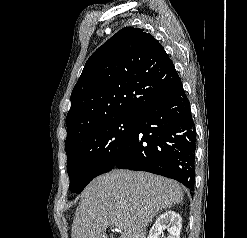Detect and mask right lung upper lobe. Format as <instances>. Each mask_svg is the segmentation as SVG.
I'll use <instances>...</instances> for the list:
<instances>
[{
    "label": "right lung upper lobe",
    "mask_w": 247,
    "mask_h": 238,
    "mask_svg": "<svg viewBox=\"0 0 247 238\" xmlns=\"http://www.w3.org/2000/svg\"><path fill=\"white\" fill-rule=\"evenodd\" d=\"M178 80L173 62L151 34L123 28L85 64L70 98L65 146L98 124L139 114L173 90Z\"/></svg>",
    "instance_id": "right-lung-upper-lobe-1"
}]
</instances>
